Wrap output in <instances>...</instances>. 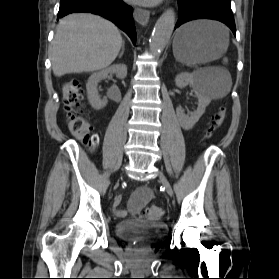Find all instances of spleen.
<instances>
[{
    "mask_svg": "<svg viewBox=\"0 0 279 279\" xmlns=\"http://www.w3.org/2000/svg\"><path fill=\"white\" fill-rule=\"evenodd\" d=\"M224 62H227L226 58H224ZM196 74L202 77V91L204 94L212 98H223L230 92L232 81L228 73H226V81L224 82H222L220 79L204 80L201 72H197Z\"/></svg>",
    "mask_w": 279,
    "mask_h": 279,
    "instance_id": "3e777b00",
    "label": "spleen"
}]
</instances>
